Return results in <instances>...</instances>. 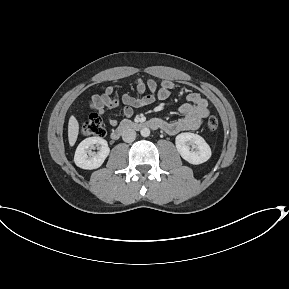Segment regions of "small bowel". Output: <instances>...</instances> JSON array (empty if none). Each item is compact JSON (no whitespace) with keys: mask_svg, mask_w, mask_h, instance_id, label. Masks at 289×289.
I'll return each mask as SVG.
<instances>
[{"mask_svg":"<svg viewBox=\"0 0 289 289\" xmlns=\"http://www.w3.org/2000/svg\"><path fill=\"white\" fill-rule=\"evenodd\" d=\"M173 88L174 83L171 80H164L158 85L153 79L147 81L138 79L136 81L137 93L141 95L148 90V94L139 97L125 93L119 99L114 96V88L108 86L103 93L93 95L89 104L90 108L100 115H104L108 111V121L110 125L115 126L117 123L113 117L115 110L118 109L125 117H131L135 109L148 106L156 100H166ZM121 103L122 107H120ZM179 112L181 117L174 121L156 119L160 122V129L169 135L199 129L209 115L208 100L200 93L192 92L188 95L187 102L180 107Z\"/></svg>","mask_w":289,"mask_h":289,"instance_id":"c3829d8e","label":"small bowel"}]
</instances>
